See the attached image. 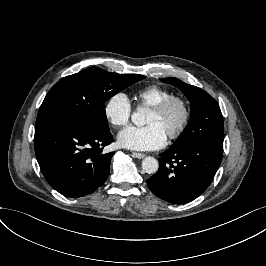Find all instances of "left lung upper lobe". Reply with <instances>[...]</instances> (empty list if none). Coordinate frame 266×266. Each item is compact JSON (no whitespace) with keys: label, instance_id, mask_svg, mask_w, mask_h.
I'll return each mask as SVG.
<instances>
[{"label":"left lung upper lobe","instance_id":"obj_1","mask_svg":"<svg viewBox=\"0 0 266 266\" xmlns=\"http://www.w3.org/2000/svg\"><path fill=\"white\" fill-rule=\"evenodd\" d=\"M164 83L177 86L191 102L190 121L172 148L179 149L199 140L223 142V117L217 101L204 90L170 77L161 78Z\"/></svg>","mask_w":266,"mask_h":266}]
</instances>
